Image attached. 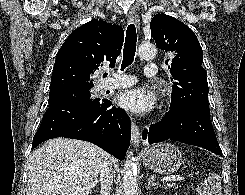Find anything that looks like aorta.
Wrapping results in <instances>:
<instances>
[{"label": "aorta", "instance_id": "aorta-1", "mask_svg": "<svg viewBox=\"0 0 245 195\" xmlns=\"http://www.w3.org/2000/svg\"><path fill=\"white\" fill-rule=\"evenodd\" d=\"M138 55L142 59H150L156 55V48L152 44H142L138 48ZM123 195H138L137 165L133 153L126 158L123 172Z\"/></svg>", "mask_w": 245, "mask_h": 195}]
</instances>
